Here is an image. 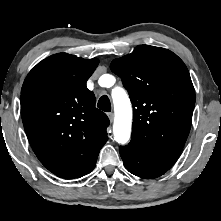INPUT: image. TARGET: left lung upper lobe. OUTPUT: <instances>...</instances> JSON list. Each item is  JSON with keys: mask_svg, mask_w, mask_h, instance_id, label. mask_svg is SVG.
Returning <instances> with one entry per match:
<instances>
[{"mask_svg": "<svg viewBox=\"0 0 221 221\" xmlns=\"http://www.w3.org/2000/svg\"><path fill=\"white\" fill-rule=\"evenodd\" d=\"M110 69L133 105L131 142L151 154L177 158L188 137L195 91L183 61L173 52L140 45Z\"/></svg>", "mask_w": 221, "mask_h": 221, "instance_id": "left-lung-upper-lobe-1", "label": "left lung upper lobe"}]
</instances>
